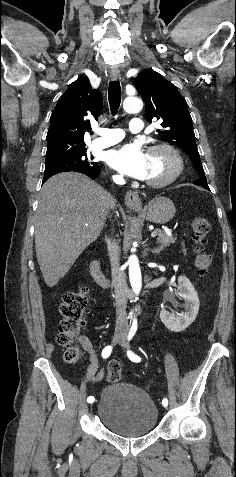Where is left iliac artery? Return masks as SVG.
Here are the masks:
<instances>
[{"mask_svg": "<svg viewBox=\"0 0 236 477\" xmlns=\"http://www.w3.org/2000/svg\"><path fill=\"white\" fill-rule=\"evenodd\" d=\"M136 330H137V323H133V325H132V327H131V329H130L129 335H128V340H129V341H130V340L132 339V337L134 336ZM127 355H128V357H129V359H130L131 361H133V362L138 363V362L141 361V358H140L138 355H136L135 353H133L132 351H130V350L127 351ZM163 403H166V404L168 405V400H167V398H164V399L162 400V404H163Z\"/></svg>", "mask_w": 236, "mask_h": 477, "instance_id": "left-iliac-artery-1", "label": "left iliac artery"}]
</instances>
